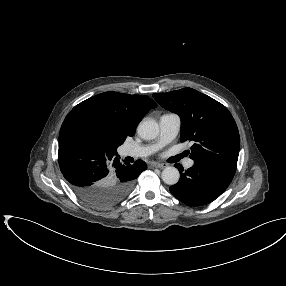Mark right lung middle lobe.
<instances>
[{"label":"right lung middle lobe","instance_id":"obj_1","mask_svg":"<svg viewBox=\"0 0 286 286\" xmlns=\"http://www.w3.org/2000/svg\"><path fill=\"white\" fill-rule=\"evenodd\" d=\"M70 124L78 128L81 132L98 142L103 148L107 146V132L95 120L87 116H74L68 120ZM116 154V151H115Z\"/></svg>","mask_w":286,"mask_h":286}]
</instances>
